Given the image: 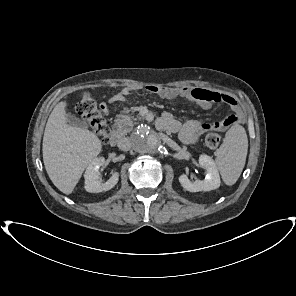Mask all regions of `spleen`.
I'll list each match as a JSON object with an SVG mask.
<instances>
[{
  "label": "spleen",
  "mask_w": 296,
  "mask_h": 296,
  "mask_svg": "<svg viewBox=\"0 0 296 296\" xmlns=\"http://www.w3.org/2000/svg\"><path fill=\"white\" fill-rule=\"evenodd\" d=\"M248 138L245 129L233 125L225 135L223 143L215 152L216 165L226 185H233L240 177L246 162Z\"/></svg>",
  "instance_id": "3e777b00"
}]
</instances>
